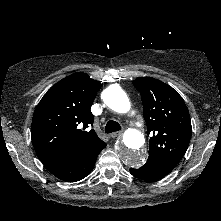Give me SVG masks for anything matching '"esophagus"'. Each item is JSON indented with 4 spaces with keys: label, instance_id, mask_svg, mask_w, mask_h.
I'll list each match as a JSON object with an SVG mask.
<instances>
[{
    "label": "esophagus",
    "instance_id": "obj_1",
    "mask_svg": "<svg viewBox=\"0 0 221 221\" xmlns=\"http://www.w3.org/2000/svg\"><path fill=\"white\" fill-rule=\"evenodd\" d=\"M121 134H122V131L113 132V133L110 134V137L116 138L117 136H120Z\"/></svg>",
    "mask_w": 221,
    "mask_h": 221
}]
</instances>
